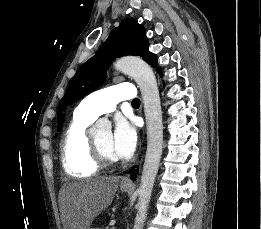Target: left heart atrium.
Masks as SVG:
<instances>
[{"mask_svg": "<svg viewBox=\"0 0 261 229\" xmlns=\"http://www.w3.org/2000/svg\"><path fill=\"white\" fill-rule=\"evenodd\" d=\"M137 144V130L133 123L127 120L117 122L111 140V151L116 159L129 158Z\"/></svg>", "mask_w": 261, "mask_h": 229, "instance_id": "obj_1", "label": "left heart atrium"}]
</instances>
